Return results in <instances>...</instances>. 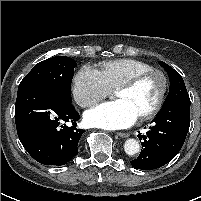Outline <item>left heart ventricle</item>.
Wrapping results in <instances>:
<instances>
[{
    "label": "left heart ventricle",
    "mask_w": 201,
    "mask_h": 201,
    "mask_svg": "<svg viewBox=\"0 0 201 201\" xmlns=\"http://www.w3.org/2000/svg\"><path fill=\"white\" fill-rule=\"evenodd\" d=\"M160 85V78L157 75H151L130 89L116 91L115 96L118 100L125 101L139 117L155 104Z\"/></svg>",
    "instance_id": "b2bd125f"
}]
</instances>
